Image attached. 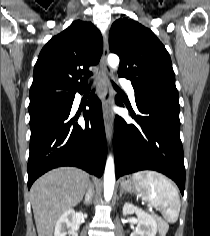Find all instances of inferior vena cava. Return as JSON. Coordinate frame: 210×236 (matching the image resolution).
Returning <instances> with one entry per match:
<instances>
[{"instance_id": "1", "label": "inferior vena cava", "mask_w": 210, "mask_h": 236, "mask_svg": "<svg viewBox=\"0 0 210 236\" xmlns=\"http://www.w3.org/2000/svg\"><path fill=\"white\" fill-rule=\"evenodd\" d=\"M91 196H92V193H91L90 188H89L88 191H87V193H86L85 200H86V201L91 200Z\"/></svg>"}]
</instances>
